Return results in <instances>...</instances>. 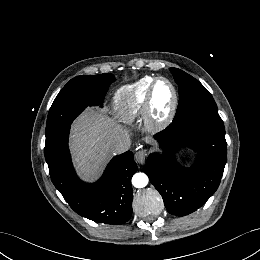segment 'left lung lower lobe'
Masks as SVG:
<instances>
[{
  "mask_svg": "<svg viewBox=\"0 0 260 260\" xmlns=\"http://www.w3.org/2000/svg\"><path fill=\"white\" fill-rule=\"evenodd\" d=\"M163 154H151L144 172L161 194L168 212L190 214L217 190L227 160L225 128L218 110H198L174 121L155 135ZM190 146L199 154L197 164L184 169L172 152Z\"/></svg>",
  "mask_w": 260,
  "mask_h": 260,
  "instance_id": "left-lung-lower-lobe-1",
  "label": "left lung lower lobe"
}]
</instances>
